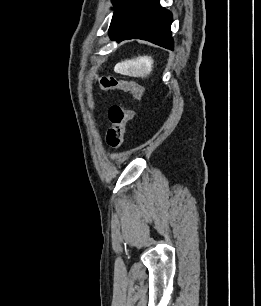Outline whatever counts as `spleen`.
<instances>
[{"label": "spleen", "mask_w": 261, "mask_h": 306, "mask_svg": "<svg viewBox=\"0 0 261 306\" xmlns=\"http://www.w3.org/2000/svg\"><path fill=\"white\" fill-rule=\"evenodd\" d=\"M153 62L151 56H139L118 63L115 71L130 77L146 78L152 71Z\"/></svg>", "instance_id": "obj_1"}]
</instances>
